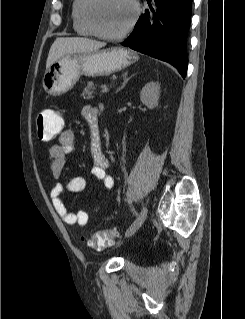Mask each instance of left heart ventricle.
Listing matches in <instances>:
<instances>
[{
	"instance_id": "left-heart-ventricle-1",
	"label": "left heart ventricle",
	"mask_w": 245,
	"mask_h": 319,
	"mask_svg": "<svg viewBox=\"0 0 245 319\" xmlns=\"http://www.w3.org/2000/svg\"><path fill=\"white\" fill-rule=\"evenodd\" d=\"M133 16L129 0H100L96 8V19L102 30L118 33L124 29Z\"/></svg>"
}]
</instances>
